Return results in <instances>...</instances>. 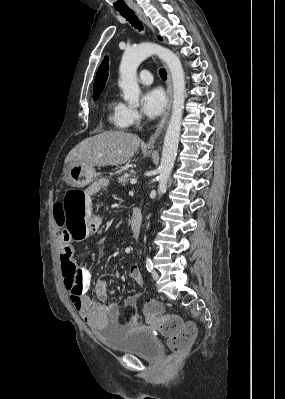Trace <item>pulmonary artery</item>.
I'll list each match as a JSON object with an SVG mask.
<instances>
[{"label":"pulmonary artery","instance_id":"obj_1","mask_svg":"<svg viewBox=\"0 0 285 399\" xmlns=\"http://www.w3.org/2000/svg\"><path fill=\"white\" fill-rule=\"evenodd\" d=\"M139 82L145 85L152 83V74L149 70H142L139 74Z\"/></svg>","mask_w":285,"mask_h":399}]
</instances>
